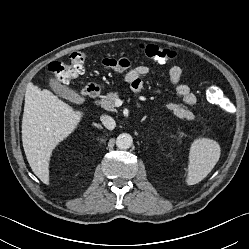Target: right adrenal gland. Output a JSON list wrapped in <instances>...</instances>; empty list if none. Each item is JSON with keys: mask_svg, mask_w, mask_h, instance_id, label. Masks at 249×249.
<instances>
[{"mask_svg": "<svg viewBox=\"0 0 249 249\" xmlns=\"http://www.w3.org/2000/svg\"><path fill=\"white\" fill-rule=\"evenodd\" d=\"M97 128L102 129V126L100 125H95Z\"/></svg>", "mask_w": 249, "mask_h": 249, "instance_id": "right-adrenal-gland-1", "label": "right adrenal gland"}]
</instances>
